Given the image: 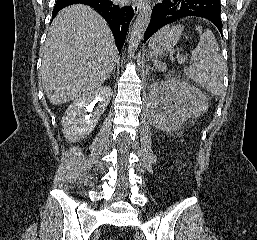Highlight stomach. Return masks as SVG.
<instances>
[{
    "instance_id": "0dacf381",
    "label": "stomach",
    "mask_w": 257,
    "mask_h": 240,
    "mask_svg": "<svg viewBox=\"0 0 257 240\" xmlns=\"http://www.w3.org/2000/svg\"><path fill=\"white\" fill-rule=\"evenodd\" d=\"M156 44L155 43H152V42H150V44H149V47H150V54L151 53H156Z\"/></svg>"
}]
</instances>
